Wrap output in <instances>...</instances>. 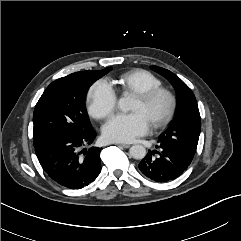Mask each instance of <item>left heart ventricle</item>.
<instances>
[{"label":"left heart ventricle","mask_w":241,"mask_h":241,"mask_svg":"<svg viewBox=\"0 0 241 241\" xmlns=\"http://www.w3.org/2000/svg\"><path fill=\"white\" fill-rule=\"evenodd\" d=\"M168 102L166 98L160 97L151 104H145L139 98H135L131 110L133 112L144 113L149 121L153 123L154 121L160 119L166 112Z\"/></svg>","instance_id":"left-heart-ventricle-1"}]
</instances>
